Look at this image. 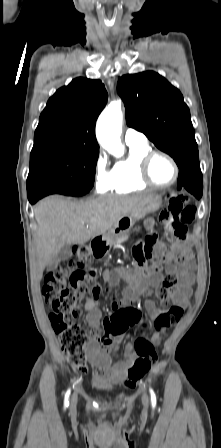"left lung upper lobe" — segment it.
<instances>
[{"label":"left lung upper lobe","instance_id":"1","mask_svg":"<svg viewBox=\"0 0 221 448\" xmlns=\"http://www.w3.org/2000/svg\"><path fill=\"white\" fill-rule=\"evenodd\" d=\"M118 94L127 125L143 132L178 167H199L198 147L188 106L180 91L153 71L119 78Z\"/></svg>","mask_w":221,"mask_h":448}]
</instances>
